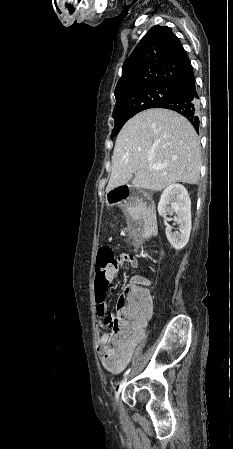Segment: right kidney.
I'll use <instances>...</instances> for the list:
<instances>
[{"label": "right kidney", "instance_id": "obj_1", "mask_svg": "<svg viewBox=\"0 0 233 449\" xmlns=\"http://www.w3.org/2000/svg\"><path fill=\"white\" fill-rule=\"evenodd\" d=\"M158 212L167 219V215H177L179 231L172 232L167 226L165 233L168 241L176 250L186 246L191 232V200L186 188L181 184L169 185L162 193Z\"/></svg>", "mask_w": 233, "mask_h": 449}]
</instances>
